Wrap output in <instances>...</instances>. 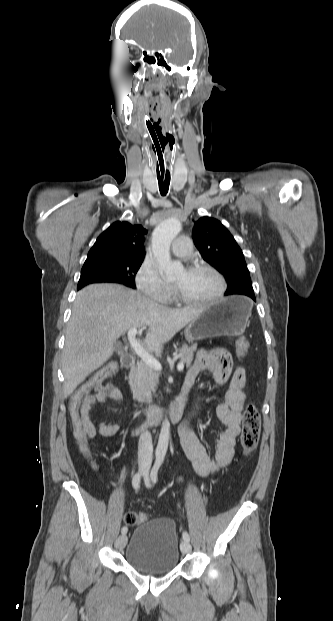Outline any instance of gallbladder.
Wrapping results in <instances>:
<instances>
[{
    "instance_id": "1",
    "label": "gallbladder",
    "mask_w": 333,
    "mask_h": 621,
    "mask_svg": "<svg viewBox=\"0 0 333 621\" xmlns=\"http://www.w3.org/2000/svg\"><path fill=\"white\" fill-rule=\"evenodd\" d=\"M114 352L121 354L123 352V346L119 343L114 344Z\"/></svg>"
}]
</instances>
